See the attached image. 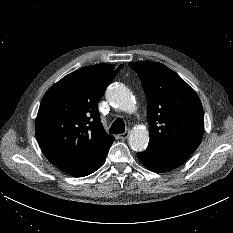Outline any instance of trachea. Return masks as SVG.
<instances>
[{
  "label": "trachea",
  "mask_w": 233,
  "mask_h": 233,
  "mask_svg": "<svg viewBox=\"0 0 233 233\" xmlns=\"http://www.w3.org/2000/svg\"><path fill=\"white\" fill-rule=\"evenodd\" d=\"M124 131L125 123L121 118H117L109 129L110 133H124Z\"/></svg>",
  "instance_id": "trachea-1"
}]
</instances>
